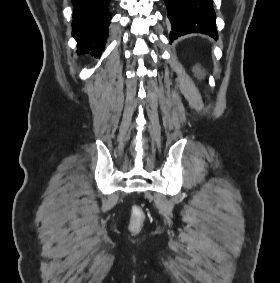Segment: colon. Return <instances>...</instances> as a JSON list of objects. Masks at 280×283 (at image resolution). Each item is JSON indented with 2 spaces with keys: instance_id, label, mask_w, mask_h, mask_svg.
<instances>
[{
  "instance_id": "colon-1",
  "label": "colon",
  "mask_w": 280,
  "mask_h": 283,
  "mask_svg": "<svg viewBox=\"0 0 280 283\" xmlns=\"http://www.w3.org/2000/svg\"><path fill=\"white\" fill-rule=\"evenodd\" d=\"M145 214L139 206H133L131 211V219L129 229L132 232H139L144 226Z\"/></svg>"
}]
</instances>
